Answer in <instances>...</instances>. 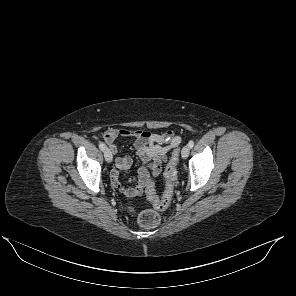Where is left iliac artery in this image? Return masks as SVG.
Instances as JSON below:
<instances>
[{
    "mask_svg": "<svg viewBox=\"0 0 296 296\" xmlns=\"http://www.w3.org/2000/svg\"><path fill=\"white\" fill-rule=\"evenodd\" d=\"M188 146H189L190 148H192V147L194 146V141H193V140L189 141Z\"/></svg>",
    "mask_w": 296,
    "mask_h": 296,
    "instance_id": "44dca946",
    "label": "left iliac artery"
}]
</instances>
